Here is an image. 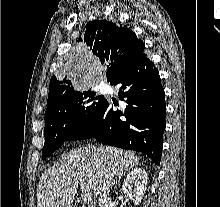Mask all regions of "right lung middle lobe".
<instances>
[{"label": "right lung middle lobe", "mask_w": 220, "mask_h": 207, "mask_svg": "<svg viewBox=\"0 0 220 207\" xmlns=\"http://www.w3.org/2000/svg\"><path fill=\"white\" fill-rule=\"evenodd\" d=\"M95 94L90 90L76 91L61 99L45 114V143L42 158H47L56 151L99 110L105 99L95 97Z\"/></svg>", "instance_id": "1"}]
</instances>
